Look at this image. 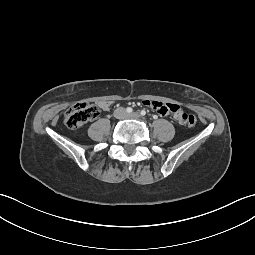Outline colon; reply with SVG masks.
I'll return each mask as SVG.
<instances>
[{
	"label": "colon",
	"instance_id": "obj_1",
	"mask_svg": "<svg viewBox=\"0 0 255 255\" xmlns=\"http://www.w3.org/2000/svg\"><path fill=\"white\" fill-rule=\"evenodd\" d=\"M99 115V108L94 103L81 102L76 103L68 108L64 115V124L71 130H78L86 123L96 119ZM188 115L186 125L194 126L197 119L194 115Z\"/></svg>",
	"mask_w": 255,
	"mask_h": 255
}]
</instances>
